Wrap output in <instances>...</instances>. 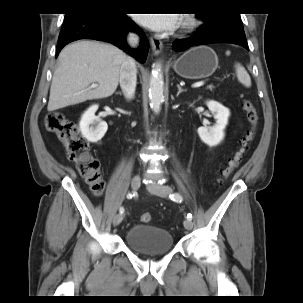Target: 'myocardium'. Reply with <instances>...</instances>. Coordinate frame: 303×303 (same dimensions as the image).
Wrapping results in <instances>:
<instances>
[{"label":"myocardium","instance_id":"f54148a6","mask_svg":"<svg viewBox=\"0 0 303 303\" xmlns=\"http://www.w3.org/2000/svg\"><path fill=\"white\" fill-rule=\"evenodd\" d=\"M198 25V19L195 14H184L181 18L180 27L184 31H189Z\"/></svg>","mask_w":303,"mask_h":303}]
</instances>
